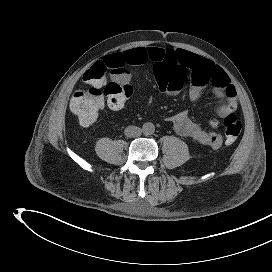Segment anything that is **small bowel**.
Listing matches in <instances>:
<instances>
[{"instance_id": "small-bowel-1", "label": "small bowel", "mask_w": 272, "mask_h": 272, "mask_svg": "<svg viewBox=\"0 0 272 272\" xmlns=\"http://www.w3.org/2000/svg\"><path fill=\"white\" fill-rule=\"evenodd\" d=\"M99 63L109 68L153 63V71L161 94L171 96L179 94L186 80L189 79L187 97L191 102H196L204 88L211 85L213 97L217 102L216 113L219 117H227L239 107L236 89L226 72L208 59L187 50L137 47L109 54ZM123 77L128 81L129 73L126 71ZM171 122L176 133L195 142L213 149H218L223 143L221 134L216 130L219 125L216 118L209 121L210 131L204 130L192 121L186 112L175 115Z\"/></svg>"}]
</instances>
